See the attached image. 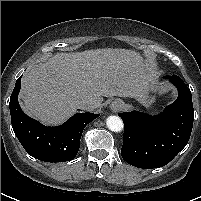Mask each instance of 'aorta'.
I'll use <instances>...</instances> for the list:
<instances>
[{"label":"aorta","mask_w":201,"mask_h":201,"mask_svg":"<svg viewBox=\"0 0 201 201\" xmlns=\"http://www.w3.org/2000/svg\"><path fill=\"white\" fill-rule=\"evenodd\" d=\"M106 125L113 132H120L124 126L122 119L118 116H109L106 119Z\"/></svg>","instance_id":"1"}]
</instances>
